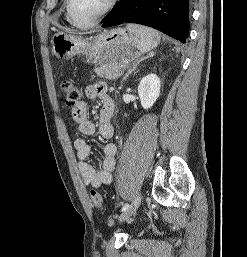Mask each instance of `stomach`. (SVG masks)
Listing matches in <instances>:
<instances>
[{
  "mask_svg": "<svg viewBox=\"0 0 247 257\" xmlns=\"http://www.w3.org/2000/svg\"><path fill=\"white\" fill-rule=\"evenodd\" d=\"M51 42L54 53L66 59L82 54L92 63H116L123 67L139 57L134 50V35L125 28L104 31L91 38L57 32Z\"/></svg>",
  "mask_w": 247,
  "mask_h": 257,
  "instance_id": "stomach-1",
  "label": "stomach"
}]
</instances>
